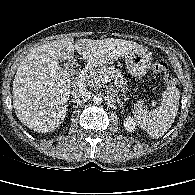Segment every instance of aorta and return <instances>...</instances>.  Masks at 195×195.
<instances>
[{
  "mask_svg": "<svg viewBox=\"0 0 195 195\" xmlns=\"http://www.w3.org/2000/svg\"><path fill=\"white\" fill-rule=\"evenodd\" d=\"M101 101H102V96H101V95H95V96L93 97V102H94V104H100Z\"/></svg>",
  "mask_w": 195,
  "mask_h": 195,
  "instance_id": "1",
  "label": "aorta"
}]
</instances>
